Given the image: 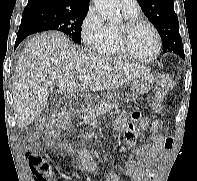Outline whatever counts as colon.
<instances>
[{
    "label": "colon",
    "instance_id": "colon-1",
    "mask_svg": "<svg viewBox=\"0 0 197 181\" xmlns=\"http://www.w3.org/2000/svg\"><path fill=\"white\" fill-rule=\"evenodd\" d=\"M171 86L172 77L170 76V74H161L158 77V81L156 84V98L159 103L167 98ZM68 123V115H52L44 118L42 129L48 135H60L66 130Z\"/></svg>",
    "mask_w": 197,
    "mask_h": 181
}]
</instances>
